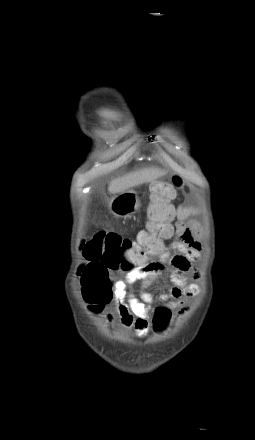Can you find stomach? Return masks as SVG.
<instances>
[{
	"mask_svg": "<svg viewBox=\"0 0 255 440\" xmlns=\"http://www.w3.org/2000/svg\"><path fill=\"white\" fill-rule=\"evenodd\" d=\"M140 208V201L134 190H127L114 196L109 209L113 215L120 218H127L136 213Z\"/></svg>",
	"mask_w": 255,
	"mask_h": 440,
	"instance_id": "0dacf381",
	"label": "stomach"
}]
</instances>
